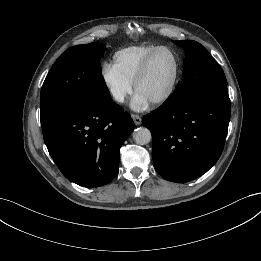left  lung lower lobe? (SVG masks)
Returning a JSON list of instances; mask_svg holds the SVG:
<instances>
[{
  "label": "left lung lower lobe",
  "instance_id": "0a47b994",
  "mask_svg": "<svg viewBox=\"0 0 261 261\" xmlns=\"http://www.w3.org/2000/svg\"><path fill=\"white\" fill-rule=\"evenodd\" d=\"M230 121L226 86L203 91L188 101H170L143 117L153 138L155 170L184 183L207 172L219 159Z\"/></svg>",
  "mask_w": 261,
  "mask_h": 261
}]
</instances>
